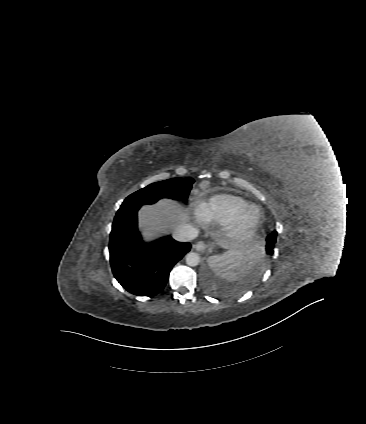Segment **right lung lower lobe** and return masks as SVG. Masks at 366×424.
Instances as JSON below:
<instances>
[{"mask_svg": "<svg viewBox=\"0 0 366 424\" xmlns=\"http://www.w3.org/2000/svg\"><path fill=\"white\" fill-rule=\"evenodd\" d=\"M139 208L118 210L110 234V263L115 278L128 292L153 296L164 288L172 267L191 245L170 236L146 245L137 228Z\"/></svg>", "mask_w": 366, "mask_h": 424, "instance_id": "98d812e1", "label": "right lung lower lobe"}]
</instances>
